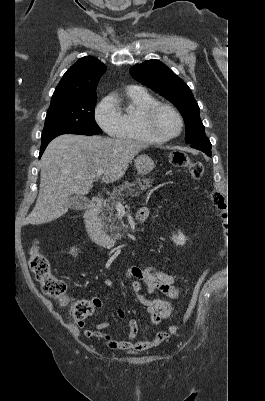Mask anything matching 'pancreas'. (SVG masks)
I'll list each match as a JSON object with an SVG mask.
<instances>
[{
    "mask_svg": "<svg viewBox=\"0 0 265 401\" xmlns=\"http://www.w3.org/2000/svg\"><path fill=\"white\" fill-rule=\"evenodd\" d=\"M153 180L154 178H145V176L144 178H137L135 182L124 180L123 184H119L118 188H113L109 198H105L99 219L104 221L103 225H105L106 231H109L110 237H113V239H122L124 237L122 225L116 223L118 215H116L115 209L118 201H123L124 190H127L126 196H129V194L135 196V194H138V190H145V188L152 186ZM136 182L138 186H136ZM130 186H133V188H130Z\"/></svg>",
    "mask_w": 265,
    "mask_h": 401,
    "instance_id": "cf45deb5",
    "label": "pancreas"
}]
</instances>
